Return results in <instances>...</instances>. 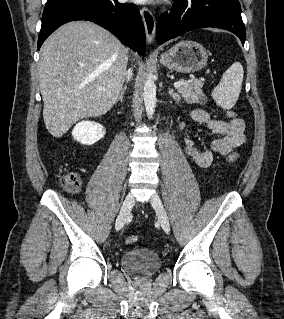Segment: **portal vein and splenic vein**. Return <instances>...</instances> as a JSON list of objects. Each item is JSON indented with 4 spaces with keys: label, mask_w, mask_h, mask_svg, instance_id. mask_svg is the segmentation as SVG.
I'll list each match as a JSON object with an SVG mask.
<instances>
[{
    "label": "portal vein and splenic vein",
    "mask_w": 284,
    "mask_h": 319,
    "mask_svg": "<svg viewBox=\"0 0 284 319\" xmlns=\"http://www.w3.org/2000/svg\"><path fill=\"white\" fill-rule=\"evenodd\" d=\"M185 83L184 82H182V81H177V82H174V87L175 88H179V87H181L182 85H184Z\"/></svg>",
    "instance_id": "obj_1"
}]
</instances>
